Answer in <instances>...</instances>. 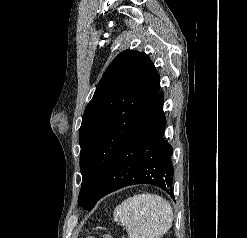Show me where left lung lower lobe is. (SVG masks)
<instances>
[{"label":"left lung lower lobe","instance_id":"1","mask_svg":"<svg viewBox=\"0 0 247 238\" xmlns=\"http://www.w3.org/2000/svg\"><path fill=\"white\" fill-rule=\"evenodd\" d=\"M163 102V92H158L147 113L110 163L100 184L98 200L134 184H152L173 196V149L163 137L166 126Z\"/></svg>","mask_w":247,"mask_h":238}]
</instances>
